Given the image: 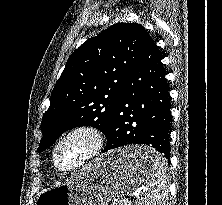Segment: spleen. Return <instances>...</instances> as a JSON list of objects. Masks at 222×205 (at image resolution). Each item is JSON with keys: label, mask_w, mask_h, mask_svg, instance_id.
I'll list each match as a JSON object with an SVG mask.
<instances>
[{"label": "spleen", "mask_w": 222, "mask_h": 205, "mask_svg": "<svg viewBox=\"0 0 222 205\" xmlns=\"http://www.w3.org/2000/svg\"><path fill=\"white\" fill-rule=\"evenodd\" d=\"M148 171L146 174V188L137 197V205H166L168 194V164L166 159L156 154L147 158Z\"/></svg>", "instance_id": "spleen-1"}]
</instances>
